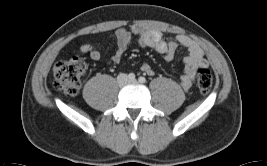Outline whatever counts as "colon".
Masks as SVG:
<instances>
[{"instance_id":"obj_1","label":"colon","mask_w":267,"mask_h":166,"mask_svg":"<svg viewBox=\"0 0 267 166\" xmlns=\"http://www.w3.org/2000/svg\"><path fill=\"white\" fill-rule=\"evenodd\" d=\"M85 70L86 63L79 57L59 62L54 67L53 87L67 96L76 95ZM212 85L213 78L210 71L206 68H201L198 71V88L200 93L203 95L208 94Z\"/></svg>"}]
</instances>
